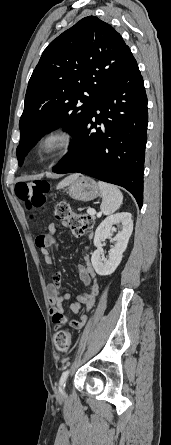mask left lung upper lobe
Wrapping results in <instances>:
<instances>
[{
	"instance_id": "obj_1",
	"label": "left lung upper lobe",
	"mask_w": 171,
	"mask_h": 445,
	"mask_svg": "<svg viewBox=\"0 0 171 445\" xmlns=\"http://www.w3.org/2000/svg\"><path fill=\"white\" fill-rule=\"evenodd\" d=\"M137 64L121 35L95 16L81 19L53 40L29 80L17 158L64 125L74 138L107 84Z\"/></svg>"
}]
</instances>
